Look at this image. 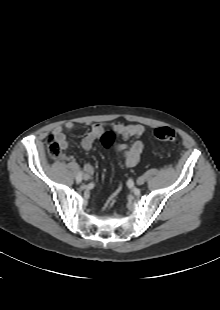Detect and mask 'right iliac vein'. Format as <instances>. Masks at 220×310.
I'll return each mask as SVG.
<instances>
[{
  "mask_svg": "<svg viewBox=\"0 0 220 310\" xmlns=\"http://www.w3.org/2000/svg\"><path fill=\"white\" fill-rule=\"evenodd\" d=\"M89 178H90V177H89L88 174H85V175L83 176V179L86 180V181L89 180Z\"/></svg>",
  "mask_w": 220,
  "mask_h": 310,
  "instance_id": "63e3f726",
  "label": "right iliac vein"
}]
</instances>
